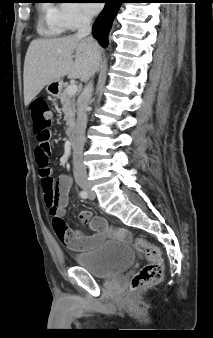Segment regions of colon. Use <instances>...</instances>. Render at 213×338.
Listing matches in <instances>:
<instances>
[{"instance_id": "1", "label": "colon", "mask_w": 213, "mask_h": 338, "mask_svg": "<svg viewBox=\"0 0 213 338\" xmlns=\"http://www.w3.org/2000/svg\"><path fill=\"white\" fill-rule=\"evenodd\" d=\"M34 125L33 130L39 143H45L50 137V126L52 116L46 102L43 99H36L30 106ZM36 161L39 167V175L41 178V186L45 206L48 209L49 216L58 231H64L61 220L57 217V203L54 192V179L49 166L48 155H44L41 151L35 152ZM94 229H100L103 224L96 221L92 224ZM134 245L144 256V264L141 269L133 276L131 286L134 289L154 286L161 282L164 276V262L159 247L149 243L142 237L134 240Z\"/></svg>"}]
</instances>
